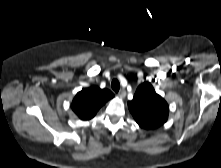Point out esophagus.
<instances>
[{
  "label": "esophagus",
  "instance_id": "esophagus-1",
  "mask_svg": "<svg viewBox=\"0 0 221 168\" xmlns=\"http://www.w3.org/2000/svg\"><path fill=\"white\" fill-rule=\"evenodd\" d=\"M126 96V90L125 89H121L118 93V97L120 98H124Z\"/></svg>",
  "mask_w": 221,
  "mask_h": 168
}]
</instances>
